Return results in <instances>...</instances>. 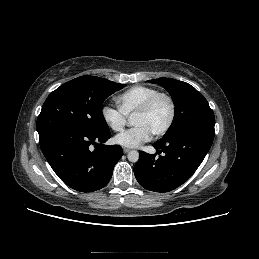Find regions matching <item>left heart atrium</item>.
I'll return each mask as SVG.
<instances>
[{"mask_svg": "<svg viewBox=\"0 0 259 259\" xmlns=\"http://www.w3.org/2000/svg\"><path fill=\"white\" fill-rule=\"evenodd\" d=\"M152 138V133L145 126L137 125L114 137V142L127 148H136Z\"/></svg>", "mask_w": 259, "mask_h": 259, "instance_id": "obj_1", "label": "left heart atrium"}]
</instances>
